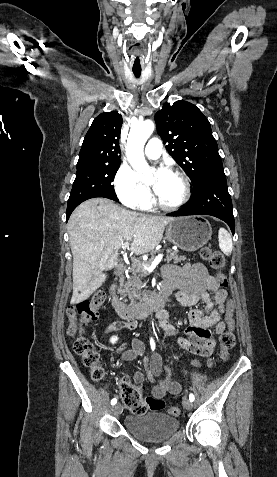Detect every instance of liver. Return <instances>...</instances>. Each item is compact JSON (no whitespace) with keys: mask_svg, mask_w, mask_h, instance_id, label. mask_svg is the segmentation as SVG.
Instances as JSON below:
<instances>
[{"mask_svg":"<svg viewBox=\"0 0 277 477\" xmlns=\"http://www.w3.org/2000/svg\"><path fill=\"white\" fill-rule=\"evenodd\" d=\"M173 217L150 216L126 210L106 198L80 204L68 221L73 255L71 304L89 298L106 280L107 271L118 263V250L132 240L130 251L143 255L161 241Z\"/></svg>","mask_w":277,"mask_h":477,"instance_id":"liver-1","label":"liver"}]
</instances>
